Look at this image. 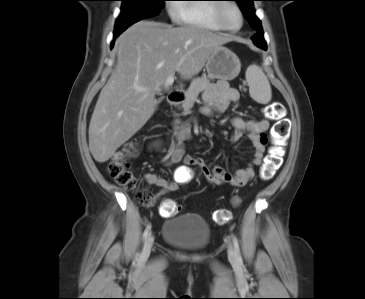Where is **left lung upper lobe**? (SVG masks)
<instances>
[{
	"label": "left lung upper lobe",
	"instance_id": "1",
	"mask_svg": "<svg viewBox=\"0 0 365 299\" xmlns=\"http://www.w3.org/2000/svg\"><path fill=\"white\" fill-rule=\"evenodd\" d=\"M237 1L245 18L257 33H263L260 20L255 16L252 2L255 0H234Z\"/></svg>",
	"mask_w": 365,
	"mask_h": 299
}]
</instances>
